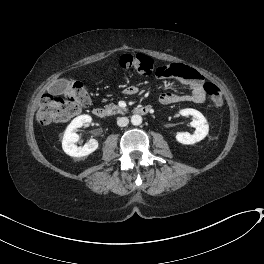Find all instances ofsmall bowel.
Instances as JSON below:
<instances>
[{
  "mask_svg": "<svg viewBox=\"0 0 264 264\" xmlns=\"http://www.w3.org/2000/svg\"><path fill=\"white\" fill-rule=\"evenodd\" d=\"M169 70L171 71L170 76L175 77L179 85L188 88L189 93L182 95L171 91L163 92L159 98L160 104L168 105L185 101L201 103L205 101L204 79L199 72L182 64H171ZM135 92L136 88L134 86H130L124 91L127 95H132Z\"/></svg>",
  "mask_w": 264,
  "mask_h": 264,
  "instance_id": "obj_1",
  "label": "small bowel"
}]
</instances>
